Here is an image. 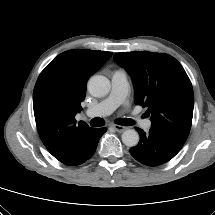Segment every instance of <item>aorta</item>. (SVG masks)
<instances>
[{
    "label": "aorta",
    "instance_id": "1",
    "mask_svg": "<svg viewBox=\"0 0 215 215\" xmlns=\"http://www.w3.org/2000/svg\"><path fill=\"white\" fill-rule=\"evenodd\" d=\"M110 81L102 75L92 76L88 81V91L94 97L106 96L110 91ZM122 142L128 147H134L139 142V134L134 129H127L122 134Z\"/></svg>",
    "mask_w": 215,
    "mask_h": 215
}]
</instances>
